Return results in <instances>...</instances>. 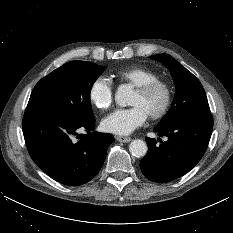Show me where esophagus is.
Returning <instances> with one entry per match:
<instances>
[{"instance_id": "34e87169", "label": "esophagus", "mask_w": 233, "mask_h": 233, "mask_svg": "<svg viewBox=\"0 0 233 233\" xmlns=\"http://www.w3.org/2000/svg\"><path fill=\"white\" fill-rule=\"evenodd\" d=\"M116 139H117L119 142H124V143H127V142H130V141H131V138H130V137H125V136H116Z\"/></svg>"}]
</instances>
